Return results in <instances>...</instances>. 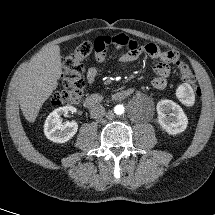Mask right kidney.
Listing matches in <instances>:
<instances>
[{
    "label": "right kidney",
    "instance_id": "ca27d5eb",
    "mask_svg": "<svg viewBox=\"0 0 215 215\" xmlns=\"http://www.w3.org/2000/svg\"><path fill=\"white\" fill-rule=\"evenodd\" d=\"M76 111L75 107L64 106L51 112L44 124L45 136L57 143H65L70 140L76 134L78 125L75 121L62 123L61 116L68 114V112L75 113Z\"/></svg>",
    "mask_w": 215,
    "mask_h": 215
}]
</instances>
